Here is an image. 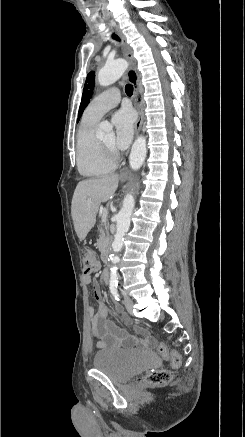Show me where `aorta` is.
<instances>
[{"mask_svg": "<svg viewBox=\"0 0 245 437\" xmlns=\"http://www.w3.org/2000/svg\"><path fill=\"white\" fill-rule=\"evenodd\" d=\"M127 68V62L123 59H118L113 63L105 65L98 73L97 80L100 85L108 86L116 82L125 72ZM112 127L108 124H101L97 136L103 137L107 132L111 131ZM146 139L143 136H139L131 149L129 156L130 167L133 170H138L146 157ZM135 206L134 197L131 194L126 195L123 200V205L119 213L116 215V233L112 243V253L109 255L110 267V281L117 280V267L119 262L117 253L121 251L124 242V236L129 230L131 215Z\"/></svg>", "mask_w": 245, "mask_h": 437, "instance_id": "1", "label": "aorta"}]
</instances>
